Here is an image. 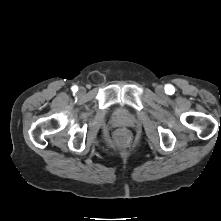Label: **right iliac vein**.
I'll use <instances>...</instances> for the list:
<instances>
[{
    "mask_svg": "<svg viewBox=\"0 0 221 221\" xmlns=\"http://www.w3.org/2000/svg\"><path fill=\"white\" fill-rule=\"evenodd\" d=\"M84 91H85L84 88H80V89H79V93H80V94L84 93Z\"/></svg>",
    "mask_w": 221,
    "mask_h": 221,
    "instance_id": "obj_1",
    "label": "right iliac vein"
}]
</instances>
